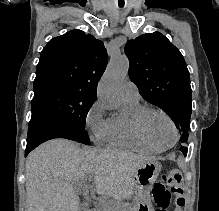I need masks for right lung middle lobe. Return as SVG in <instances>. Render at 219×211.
I'll return each mask as SVG.
<instances>
[{
    "label": "right lung middle lobe",
    "instance_id": "dd1d6c3e",
    "mask_svg": "<svg viewBox=\"0 0 219 211\" xmlns=\"http://www.w3.org/2000/svg\"><path fill=\"white\" fill-rule=\"evenodd\" d=\"M94 102L95 97L79 92L63 88H48L34 93L30 121L53 120L79 129L89 138L85 123L86 116Z\"/></svg>",
    "mask_w": 219,
    "mask_h": 211
}]
</instances>
